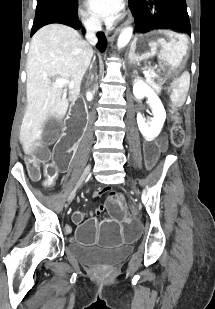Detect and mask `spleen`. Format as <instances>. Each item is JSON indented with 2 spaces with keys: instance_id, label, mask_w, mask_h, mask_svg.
Returning a JSON list of instances; mask_svg holds the SVG:
<instances>
[{
  "instance_id": "3e777b00",
  "label": "spleen",
  "mask_w": 215,
  "mask_h": 309,
  "mask_svg": "<svg viewBox=\"0 0 215 309\" xmlns=\"http://www.w3.org/2000/svg\"><path fill=\"white\" fill-rule=\"evenodd\" d=\"M172 84V92L170 94V98L174 104V106H182L186 100V94L183 92V86H189V74L184 72L183 76L180 78H176L171 82Z\"/></svg>"
}]
</instances>
